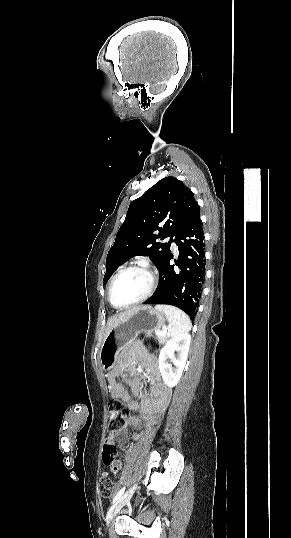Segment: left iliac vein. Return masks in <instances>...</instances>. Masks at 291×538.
I'll return each instance as SVG.
<instances>
[{
	"instance_id": "left-iliac-vein-1",
	"label": "left iliac vein",
	"mask_w": 291,
	"mask_h": 538,
	"mask_svg": "<svg viewBox=\"0 0 291 538\" xmlns=\"http://www.w3.org/2000/svg\"><path fill=\"white\" fill-rule=\"evenodd\" d=\"M136 488V484L133 485L118 501H116L110 508L107 517V525L113 520L119 510L130 500Z\"/></svg>"
}]
</instances>
